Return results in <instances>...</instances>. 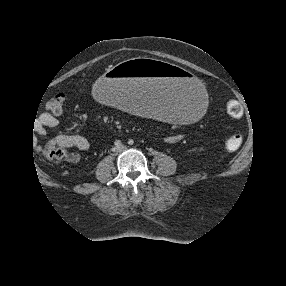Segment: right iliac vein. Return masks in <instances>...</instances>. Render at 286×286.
I'll return each mask as SVG.
<instances>
[{"instance_id": "right-iliac-vein-1", "label": "right iliac vein", "mask_w": 286, "mask_h": 286, "mask_svg": "<svg viewBox=\"0 0 286 286\" xmlns=\"http://www.w3.org/2000/svg\"><path fill=\"white\" fill-rule=\"evenodd\" d=\"M113 151H114V152H118V148L114 147V148H113Z\"/></svg>"}]
</instances>
